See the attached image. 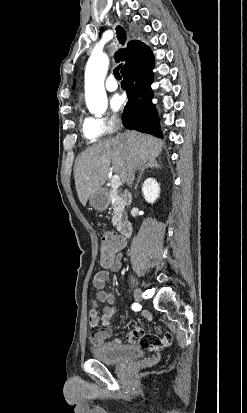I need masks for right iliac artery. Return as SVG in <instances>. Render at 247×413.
<instances>
[{"label":"right iliac artery","instance_id":"82829eb1","mask_svg":"<svg viewBox=\"0 0 247 413\" xmlns=\"http://www.w3.org/2000/svg\"><path fill=\"white\" fill-rule=\"evenodd\" d=\"M140 309H141V305H139L138 303L132 304V310L139 311Z\"/></svg>","mask_w":247,"mask_h":413}]
</instances>
